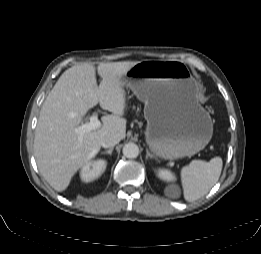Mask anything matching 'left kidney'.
Here are the masks:
<instances>
[{"instance_id": "5707ae66", "label": "left kidney", "mask_w": 261, "mask_h": 254, "mask_svg": "<svg viewBox=\"0 0 261 254\" xmlns=\"http://www.w3.org/2000/svg\"><path fill=\"white\" fill-rule=\"evenodd\" d=\"M156 174L160 179L167 182H174L176 179L175 175L167 169H158L156 170Z\"/></svg>"}]
</instances>
